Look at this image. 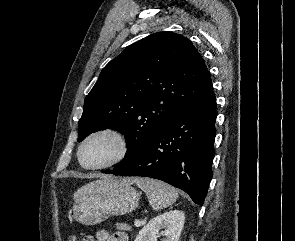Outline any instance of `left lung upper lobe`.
<instances>
[{"label":"left lung upper lobe","mask_w":295,"mask_h":241,"mask_svg":"<svg viewBox=\"0 0 295 241\" xmlns=\"http://www.w3.org/2000/svg\"><path fill=\"white\" fill-rule=\"evenodd\" d=\"M212 90L210 73L189 39L173 32L151 34L101 71L84 101L78 142L101 129L122 133L128 148L122 165L166 122Z\"/></svg>","instance_id":"left-lung-upper-lobe-1"}]
</instances>
